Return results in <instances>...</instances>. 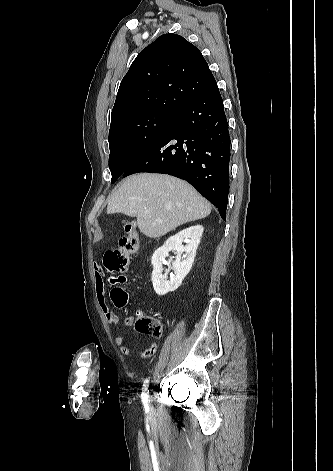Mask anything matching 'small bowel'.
Masks as SVG:
<instances>
[{
    "instance_id": "obj_1",
    "label": "small bowel",
    "mask_w": 333,
    "mask_h": 471,
    "mask_svg": "<svg viewBox=\"0 0 333 471\" xmlns=\"http://www.w3.org/2000/svg\"><path fill=\"white\" fill-rule=\"evenodd\" d=\"M103 275H104V271L102 267L97 263L94 264L95 290H96V298H97L98 304L103 310L108 324L118 326L120 323V319L118 315L110 311L107 306ZM138 314L139 313L133 316L126 317L124 320V325L126 327H131L134 324L135 320L137 319ZM115 344L117 345V347L119 348L120 352L123 355L134 354L133 350L130 347L125 345V340L123 336L121 335L117 336L115 338ZM156 351H157V345L155 343H152L149 346V348H147L145 351L140 353V356L143 358H149L153 356L156 353Z\"/></svg>"
}]
</instances>
